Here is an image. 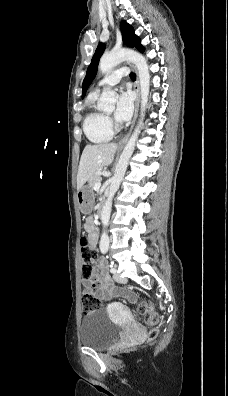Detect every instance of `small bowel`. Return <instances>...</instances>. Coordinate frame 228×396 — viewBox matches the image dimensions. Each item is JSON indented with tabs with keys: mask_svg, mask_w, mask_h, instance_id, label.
Returning <instances> with one entry per match:
<instances>
[{
	"mask_svg": "<svg viewBox=\"0 0 228 396\" xmlns=\"http://www.w3.org/2000/svg\"><path fill=\"white\" fill-rule=\"evenodd\" d=\"M85 228L89 233V247L94 250L97 246L99 235L97 228L94 226L93 218L89 217L86 220ZM102 268V263H99L97 265V271L94 273L91 279H83L84 292H94L99 299L104 301H109L117 296H124L130 301H134L135 295L127 290L117 289L113 285L111 279L104 273ZM122 311H125V308H122Z\"/></svg>",
	"mask_w": 228,
	"mask_h": 396,
	"instance_id": "c3829d8e",
	"label": "small bowel"
}]
</instances>
